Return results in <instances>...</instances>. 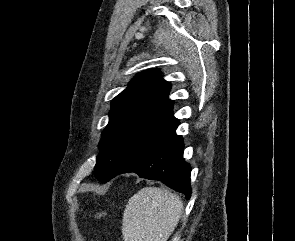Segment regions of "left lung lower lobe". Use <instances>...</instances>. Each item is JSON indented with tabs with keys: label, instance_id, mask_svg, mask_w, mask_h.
Masks as SVG:
<instances>
[{
	"label": "left lung lower lobe",
	"instance_id": "1",
	"mask_svg": "<svg viewBox=\"0 0 295 241\" xmlns=\"http://www.w3.org/2000/svg\"><path fill=\"white\" fill-rule=\"evenodd\" d=\"M176 128L151 143L112 178L134 172L141 178L159 180L190 199L191 167L183 159V141L181 136L176 135Z\"/></svg>",
	"mask_w": 295,
	"mask_h": 241
}]
</instances>
